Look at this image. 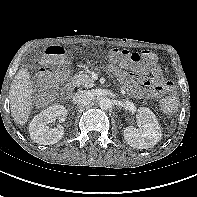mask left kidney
Here are the masks:
<instances>
[{
    "instance_id": "5707ae66",
    "label": "left kidney",
    "mask_w": 197,
    "mask_h": 197,
    "mask_svg": "<svg viewBox=\"0 0 197 197\" xmlns=\"http://www.w3.org/2000/svg\"><path fill=\"white\" fill-rule=\"evenodd\" d=\"M139 128L128 126L124 129V139L133 148L148 149L156 145L162 133L155 114L147 107H140L136 114Z\"/></svg>"
}]
</instances>
